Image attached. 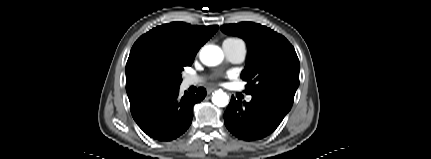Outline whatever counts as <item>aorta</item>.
<instances>
[{"label": "aorta", "mask_w": 431, "mask_h": 159, "mask_svg": "<svg viewBox=\"0 0 431 159\" xmlns=\"http://www.w3.org/2000/svg\"><path fill=\"white\" fill-rule=\"evenodd\" d=\"M200 60L207 66H215L223 60V52L218 46H205L200 52ZM212 102L219 107H225L229 102L228 95L223 91H216Z\"/></svg>", "instance_id": "obj_1"}]
</instances>
